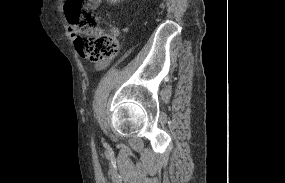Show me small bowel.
I'll return each instance as SVG.
<instances>
[{
	"mask_svg": "<svg viewBox=\"0 0 285 183\" xmlns=\"http://www.w3.org/2000/svg\"><path fill=\"white\" fill-rule=\"evenodd\" d=\"M102 0H87V6L91 9H96ZM110 63V59L103 60L95 64V69L97 71H103Z\"/></svg>",
	"mask_w": 285,
	"mask_h": 183,
	"instance_id": "c3829d8e",
	"label": "small bowel"
}]
</instances>
